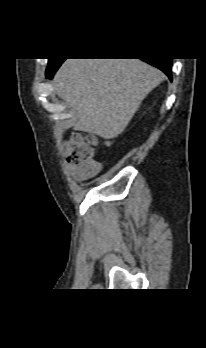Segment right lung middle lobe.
Returning a JSON list of instances; mask_svg holds the SVG:
<instances>
[{
	"instance_id": "dd1d6c3e",
	"label": "right lung middle lobe",
	"mask_w": 206,
	"mask_h": 348,
	"mask_svg": "<svg viewBox=\"0 0 206 348\" xmlns=\"http://www.w3.org/2000/svg\"><path fill=\"white\" fill-rule=\"evenodd\" d=\"M61 60H64V59H49L48 67H51V66L57 64V63L60 62ZM48 67H47V68H48Z\"/></svg>"
}]
</instances>
